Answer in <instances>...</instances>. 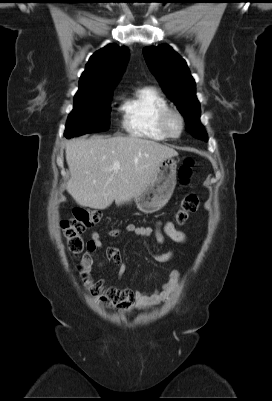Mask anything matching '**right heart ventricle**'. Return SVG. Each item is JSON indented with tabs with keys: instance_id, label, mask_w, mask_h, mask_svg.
<instances>
[{
	"instance_id": "e07e8e85",
	"label": "right heart ventricle",
	"mask_w": 272,
	"mask_h": 401,
	"mask_svg": "<svg viewBox=\"0 0 272 401\" xmlns=\"http://www.w3.org/2000/svg\"><path fill=\"white\" fill-rule=\"evenodd\" d=\"M168 107L167 100L156 88L140 87L123 102V127L135 137L155 141L167 140L169 137L161 127L160 116Z\"/></svg>"
}]
</instances>
